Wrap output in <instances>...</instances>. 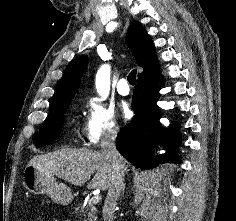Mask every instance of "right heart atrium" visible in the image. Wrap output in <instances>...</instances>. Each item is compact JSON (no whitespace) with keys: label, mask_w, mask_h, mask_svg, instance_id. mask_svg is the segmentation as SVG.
<instances>
[{"label":"right heart atrium","mask_w":236,"mask_h":221,"mask_svg":"<svg viewBox=\"0 0 236 221\" xmlns=\"http://www.w3.org/2000/svg\"><path fill=\"white\" fill-rule=\"evenodd\" d=\"M87 114L82 130L83 141L87 146L95 147L100 142L113 138L119 131V125L112 108L90 99L86 105Z\"/></svg>","instance_id":"d8ad5b80"}]
</instances>
